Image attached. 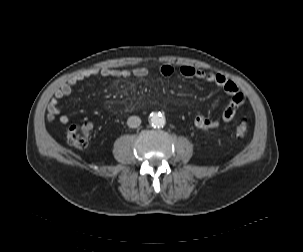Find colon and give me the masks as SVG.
I'll list each match as a JSON object with an SVG mask.
<instances>
[{"label":"colon","mask_w":303,"mask_h":252,"mask_svg":"<svg viewBox=\"0 0 303 252\" xmlns=\"http://www.w3.org/2000/svg\"><path fill=\"white\" fill-rule=\"evenodd\" d=\"M249 131V124L245 121L238 123L235 127L237 136H244ZM91 125L84 124L81 126L74 125L67 132V138L70 144L77 147H86L89 143Z\"/></svg>","instance_id":"1"}]
</instances>
